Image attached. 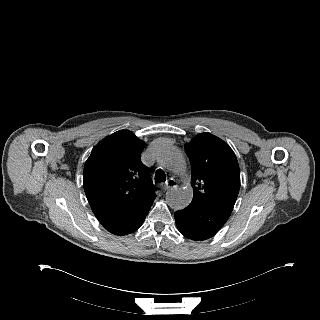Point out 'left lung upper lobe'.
<instances>
[{
    "label": "left lung upper lobe",
    "mask_w": 320,
    "mask_h": 320,
    "mask_svg": "<svg viewBox=\"0 0 320 320\" xmlns=\"http://www.w3.org/2000/svg\"><path fill=\"white\" fill-rule=\"evenodd\" d=\"M192 169L193 200L232 212L240 189L237 158L230 146L210 133L185 145Z\"/></svg>",
    "instance_id": "obj_1"
}]
</instances>
